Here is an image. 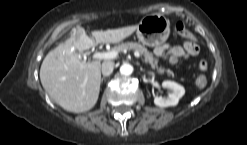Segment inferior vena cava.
Listing matches in <instances>:
<instances>
[{
	"label": "inferior vena cava",
	"instance_id": "602c4592",
	"mask_svg": "<svg viewBox=\"0 0 247 145\" xmlns=\"http://www.w3.org/2000/svg\"><path fill=\"white\" fill-rule=\"evenodd\" d=\"M114 62L113 61H104L102 63V74L103 76H109L112 74L114 70Z\"/></svg>",
	"mask_w": 247,
	"mask_h": 145
}]
</instances>
